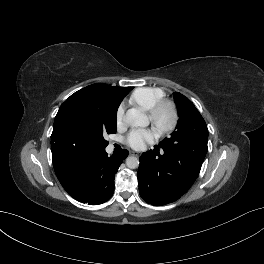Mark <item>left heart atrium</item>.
Listing matches in <instances>:
<instances>
[{
  "mask_svg": "<svg viewBox=\"0 0 264 264\" xmlns=\"http://www.w3.org/2000/svg\"><path fill=\"white\" fill-rule=\"evenodd\" d=\"M155 139L156 133L152 129H134L128 134L126 142L133 149L141 150Z\"/></svg>",
  "mask_w": 264,
  "mask_h": 264,
  "instance_id": "39dd6f15",
  "label": "left heart atrium"
}]
</instances>
